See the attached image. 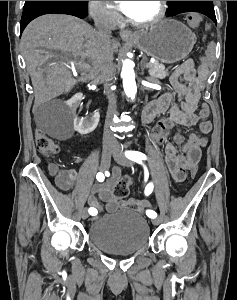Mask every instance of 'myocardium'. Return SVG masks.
I'll return each instance as SVG.
<instances>
[{"mask_svg":"<svg viewBox=\"0 0 237 300\" xmlns=\"http://www.w3.org/2000/svg\"><path fill=\"white\" fill-rule=\"evenodd\" d=\"M166 12H167V1H158V11L152 19L144 22H139L129 18L128 21L131 25L137 28H142V29L150 28L159 24L164 19Z\"/></svg>","mask_w":237,"mask_h":300,"instance_id":"obj_1","label":"myocardium"}]
</instances>
